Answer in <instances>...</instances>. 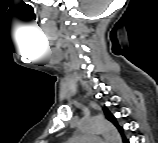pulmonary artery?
<instances>
[{
  "mask_svg": "<svg viewBox=\"0 0 158 143\" xmlns=\"http://www.w3.org/2000/svg\"><path fill=\"white\" fill-rule=\"evenodd\" d=\"M77 139H79L81 141H91V140H95V137H92V136H80Z\"/></svg>",
  "mask_w": 158,
  "mask_h": 143,
  "instance_id": "obj_1",
  "label": "pulmonary artery"
}]
</instances>
